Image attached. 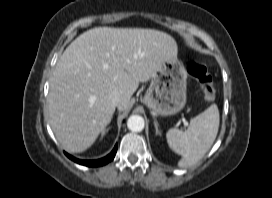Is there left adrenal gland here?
Returning a JSON list of instances; mask_svg holds the SVG:
<instances>
[{
    "label": "left adrenal gland",
    "instance_id": "a2214340",
    "mask_svg": "<svg viewBox=\"0 0 272 198\" xmlns=\"http://www.w3.org/2000/svg\"><path fill=\"white\" fill-rule=\"evenodd\" d=\"M154 126H155V130H156V135L161 136V132H160V130L158 129V124H157L156 121H154Z\"/></svg>",
    "mask_w": 272,
    "mask_h": 198
}]
</instances>
